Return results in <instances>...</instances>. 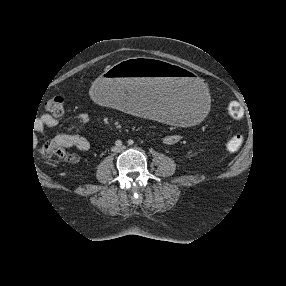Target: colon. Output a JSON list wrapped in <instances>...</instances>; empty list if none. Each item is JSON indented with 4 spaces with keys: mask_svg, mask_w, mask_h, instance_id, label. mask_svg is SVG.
Wrapping results in <instances>:
<instances>
[{
    "mask_svg": "<svg viewBox=\"0 0 286 286\" xmlns=\"http://www.w3.org/2000/svg\"><path fill=\"white\" fill-rule=\"evenodd\" d=\"M65 105V98L62 94L55 95L48 99L45 103L46 109L55 116L62 114ZM227 112L233 119L239 120L244 116V109L237 101H231L227 105ZM243 145V137L239 134H234L226 142V148L230 152H237ZM41 153L52 161H61L66 157L62 146L55 141H49L43 144Z\"/></svg>",
    "mask_w": 286,
    "mask_h": 286,
    "instance_id": "obj_1",
    "label": "colon"
}]
</instances>
